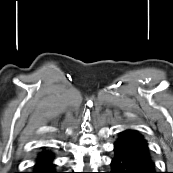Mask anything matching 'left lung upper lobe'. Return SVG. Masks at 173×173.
Instances as JSON below:
<instances>
[{"label":"left lung upper lobe","mask_w":173,"mask_h":173,"mask_svg":"<svg viewBox=\"0 0 173 173\" xmlns=\"http://www.w3.org/2000/svg\"><path fill=\"white\" fill-rule=\"evenodd\" d=\"M118 141L148 150L147 141L137 131L124 130L119 134Z\"/></svg>","instance_id":"obj_1"}]
</instances>
